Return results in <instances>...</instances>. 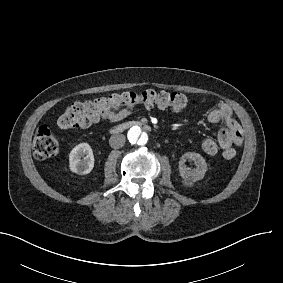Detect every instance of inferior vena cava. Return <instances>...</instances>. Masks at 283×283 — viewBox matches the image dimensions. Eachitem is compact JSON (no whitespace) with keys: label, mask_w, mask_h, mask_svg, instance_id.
Here are the masks:
<instances>
[{"label":"inferior vena cava","mask_w":283,"mask_h":283,"mask_svg":"<svg viewBox=\"0 0 283 283\" xmlns=\"http://www.w3.org/2000/svg\"><path fill=\"white\" fill-rule=\"evenodd\" d=\"M125 139L126 137L124 134H114L110 137L109 144L112 148L118 149L124 146Z\"/></svg>","instance_id":"602c4592"}]
</instances>
